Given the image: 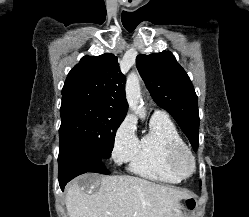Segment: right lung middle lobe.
<instances>
[{
    "instance_id": "right-lung-middle-lobe-1",
    "label": "right lung middle lobe",
    "mask_w": 249,
    "mask_h": 217,
    "mask_svg": "<svg viewBox=\"0 0 249 217\" xmlns=\"http://www.w3.org/2000/svg\"><path fill=\"white\" fill-rule=\"evenodd\" d=\"M60 143L72 142L94 152L101 160L111 156L114 138L125 114L81 99L62 100Z\"/></svg>"
}]
</instances>
